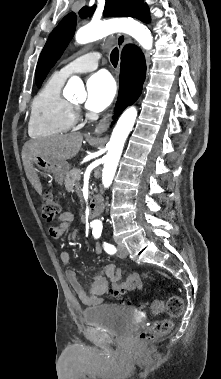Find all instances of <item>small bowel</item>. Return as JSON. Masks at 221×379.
Segmentation results:
<instances>
[{
    "label": "small bowel",
    "mask_w": 221,
    "mask_h": 379,
    "mask_svg": "<svg viewBox=\"0 0 221 379\" xmlns=\"http://www.w3.org/2000/svg\"><path fill=\"white\" fill-rule=\"evenodd\" d=\"M74 220L75 217L70 210L64 211L59 217L58 225L50 229V235L55 239L60 238L68 231L70 224L73 223ZM100 251V247L97 246L96 252L100 253ZM60 260L64 265L69 264V252H61ZM66 277L78 298L85 305H97L101 303V296L108 291H112L114 294H123L142 287V279L136 272L129 273L126 276L125 281L120 282L122 271L116 268L113 264H106L102 267V269L92 278L88 291L84 289L74 270L68 269L66 271Z\"/></svg>",
    "instance_id": "c3829d8e"
}]
</instances>
